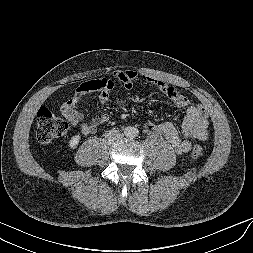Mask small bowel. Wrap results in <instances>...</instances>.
I'll return each instance as SVG.
<instances>
[{
	"mask_svg": "<svg viewBox=\"0 0 253 253\" xmlns=\"http://www.w3.org/2000/svg\"><path fill=\"white\" fill-rule=\"evenodd\" d=\"M114 78L124 84L126 90L133 88V82L138 77V72L132 69L117 70L113 74ZM146 81L163 93L167 99L178 107L186 108V113L182 121L181 137L171 122L152 123L145 122L144 129L151 136H164L171 144L175 152L179 155L188 153L192 146V141L206 140L208 138V115L205 108L192 102L178 89L167 82L150 76H144ZM113 82L109 79L92 80L79 85L74 94L61 107L62 115L72 126H79L82 135L95 133L100 125L108 121L107 115H98L91 122L83 121L84 113L76 109V106L83 97L92 91L98 92V100L101 104L109 101Z\"/></svg>",
	"mask_w": 253,
	"mask_h": 253,
	"instance_id": "1",
	"label": "small bowel"
}]
</instances>
